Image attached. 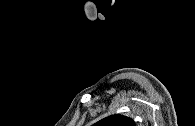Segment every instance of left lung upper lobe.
Instances as JSON below:
<instances>
[{"label":"left lung upper lobe","instance_id":"left-lung-upper-lobe-1","mask_svg":"<svg viewBox=\"0 0 195 126\" xmlns=\"http://www.w3.org/2000/svg\"><path fill=\"white\" fill-rule=\"evenodd\" d=\"M94 126H135V122L123 115H113L98 121Z\"/></svg>","mask_w":195,"mask_h":126}]
</instances>
